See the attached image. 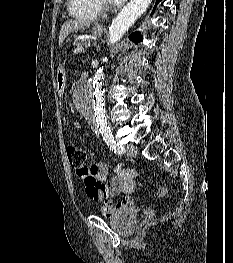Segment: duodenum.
<instances>
[{"mask_svg":"<svg viewBox=\"0 0 233 263\" xmlns=\"http://www.w3.org/2000/svg\"><path fill=\"white\" fill-rule=\"evenodd\" d=\"M88 79V74L86 72L82 73L81 80L86 81Z\"/></svg>","mask_w":233,"mask_h":263,"instance_id":"410a0bca","label":"duodenum"}]
</instances>
